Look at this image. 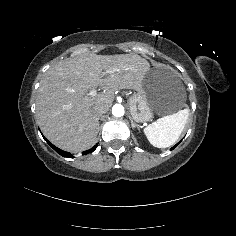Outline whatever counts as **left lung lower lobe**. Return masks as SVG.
I'll list each match as a JSON object with an SVG mask.
<instances>
[{"mask_svg": "<svg viewBox=\"0 0 236 236\" xmlns=\"http://www.w3.org/2000/svg\"><path fill=\"white\" fill-rule=\"evenodd\" d=\"M181 141H182V140H181ZM181 141H180V142H181ZM180 142H179V143H180ZM179 143H177L175 146H173V147L171 148V150L174 149Z\"/></svg>", "mask_w": 236, "mask_h": 236, "instance_id": "left-lung-lower-lobe-1", "label": "left lung lower lobe"}]
</instances>
